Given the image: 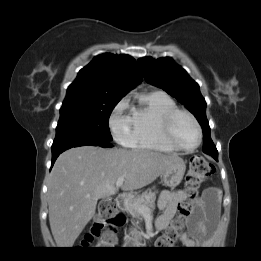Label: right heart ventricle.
<instances>
[{
  "mask_svg": "<svg viewBox=\"0 0 261 261\" xmlns=\"http://www.w3.org/2000/svg\"><path fill=\"white\" fill-rule=\"evenodd\" d=\"M175 101L165 92L152 90L144 92L137 104L130 106L131 138L128 145L132 148L174 152L162 133V120L170 111L177 109Z\"/></svg>",
  "mask_w": 261,
  "mask_h": 261,
  "instance_id": "right-heart-ventricle-1",
  "label": "right heart ventricle"
}]
</instances>
